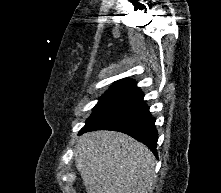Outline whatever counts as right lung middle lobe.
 <instances>
[{"instance_id": "dd1d6c3e", "label": "right lung middle lobe", "mask_w": 221, "mask_h": 193, "mask_svg": "<svg viewBox=\"0 0 221 193\" xmlns=\"http://www.w3.org/2000/svg\"><path fill=\"white\" fill-rule=\"evenodd\" d=\"M142 92L135 86L112 85L99 99L93 109V114L88 118L86 124L98 121L110 113H113L134 99L138 98Z\"/></svg>"}]
</instances>
